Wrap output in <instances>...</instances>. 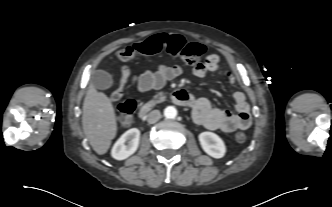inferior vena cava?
<instances>
[{"mask_svg": "<svg viewBox=\"0 0 332 207\" xmlns=\"http://www.w3.org/2000/svg\"><path fill=\"white\" fill-rule=\"evenodd\" d=\"M161 118V113L159 110L151 111L147 116V121L150 124L156 123Z\"/></svg>", "mask_w": 332, "mask_h": 207, "instance_id": "obj_1", "label": "inferior vena cava"}]
</instances>
